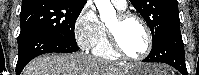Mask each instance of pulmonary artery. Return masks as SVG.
I'll list each match as a JSON object with an SVG mask.
<instances>
[{"label": "pulmonary artery", "mask_w": 199, "mask_h": 75, "mask_svg": "<svg viewBox=\"0 0 199 75\" xmlns=\"http://www.w3.org/2000/svg\"><path fill=\"white\" fill-rule=\"evenodd\" d=\"M111 2L116 8L120 10L125 9L127 5V2L125 0H112Z\"/></svg>", "instance_id": "e3ab8cb5"}]
</instances>
